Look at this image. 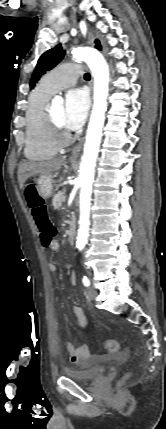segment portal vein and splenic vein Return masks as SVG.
<instances>
[{"mask_svg":"<svg viewBox=\"0 0 166 429\" xmlns=\"http://www.w3.org/2000/svg\"><path fill=\"white\" fill-rule=\"evenodd\" d=\"M62 199H63V201H65V200H66V197H65V196H63V197H62Z\"/></svg>","mask_w":166,"mask_h":429,"instance_id":"portal-vein-and-splenic-vein-1","label":"portal vein and splenic vein"}]
</instances>
